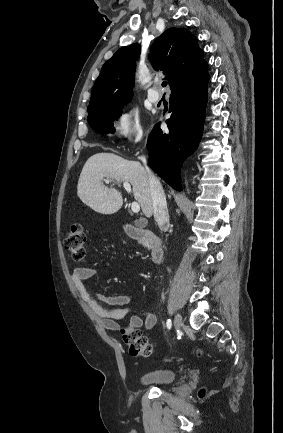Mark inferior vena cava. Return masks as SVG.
Returning <instances> with one entry per match:
<instances>
[{
    "label": "inferior vena cava",
    "instance_id": "obj_1",
    "mask_svg": "<svg viewBox=\"0 0 283 433\" xmlns=\"http://www.w3.org/2000/svg\"><path fill=\"white\" fill-rule=\"evenodd\" d=\"M141 160H143L144 164H146L145 156H141ZM146 170L150 182V192L153 200L154 219L157 221L158 225L163 227V229H167L169 225V214L164 190L161 186L160 180H158L157 176L153 174L152 170H150L148 166H146Z\"/></svg>",
    "mask_w": 283,
    "mask_h": 433
}]
</instances>
